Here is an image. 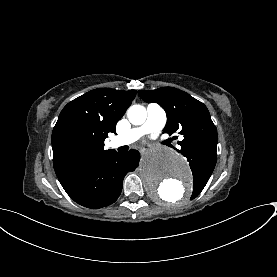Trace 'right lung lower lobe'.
<instances>
[{"label": "right lung lower lobe", "mask_w": 277, "mask_h": 277, "mask_svg": "<svg viewBox=\"0 0 277 277\" xmlns=\"http://www.w3.org/2000/svg\"><path fill=\"white\" fill-rule=\"evenodd\" d=\"M139 160L137 151L118 153L112 150L72 170L59 181L78 204L101 208L117 200L125 175L137 168Z\"/></svg>", "instance_id": "1"}]
</instances>
